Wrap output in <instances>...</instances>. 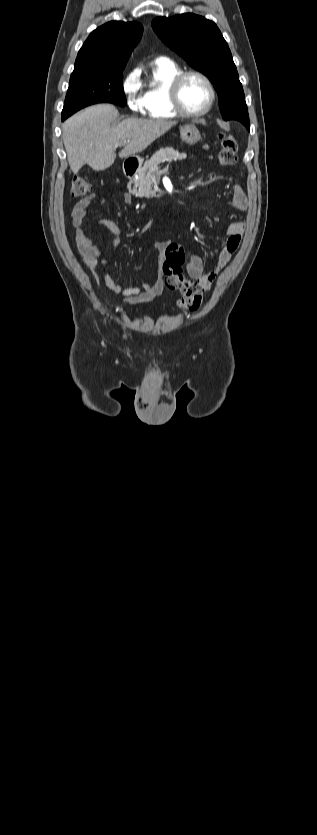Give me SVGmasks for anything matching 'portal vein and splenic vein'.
I'll return each mask as SVG.
<instances>
[{"label": "portal vein and splenic vein", "instance_id": "18ae733b", "mask_svg": "<svg viewBox=\"0 0 317 835\" xmlns=\"http://www.w3.org/2000/svg\"><path fill=\"white\" fill-rule=\"evenodd\" d=\"M129 142H130V140H127V143H129ZM119 146H124V143H123V144H120ZM154 169H155V170H158L159 168H158V167H156V168H154Z\"/></svg>", "mask_w": 317, "mask_h": 835}]
</instances>
